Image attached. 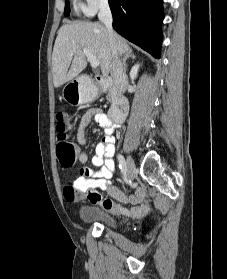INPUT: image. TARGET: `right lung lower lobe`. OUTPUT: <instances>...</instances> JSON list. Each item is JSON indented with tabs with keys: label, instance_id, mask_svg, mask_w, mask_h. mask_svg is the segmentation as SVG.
Here are the masks:
<instances>
[{
	"label": "right lung lower lobe",
	"instance_id": "1",
	"mask_svg": "<svg viewBox=\"0 0 227 279\" xmlns=\"http://www.w3.org/2000/svg\"><path fill=\"white\" fill-rule=\"evenodd\" d=\"M162 0H109L113 28L155 58H160Z\"/></svg>",
	"mask_w": 227,
	"mask_h": 279
}]
</instances>
